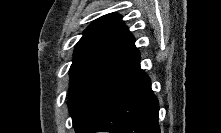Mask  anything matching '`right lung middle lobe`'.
Wrapping results in <instances>:
<instances>
[{
  "label": "right lung middle lobe",
  "instance_id": "dd1d6c3e",
  "mask_svg": "<svg viewBox=\"0 0 221 133\" xmlns=\"http://www.w3.org/2000/svg\"><path fill=\"white\" fill-rule=\"evenodd\" d=\"M99 72L73 73L70 72V87L68 106L73 122L78 114L80 106L95 79L101 75Z\"/></svg>",
  "mask_w": 221,
  "mask_h": 133
}]
</instances>
